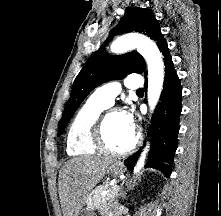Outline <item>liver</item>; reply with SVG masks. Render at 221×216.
<instances>
[{"label":"liver","instance_id":"liver-1","mask_svg":"<svg viewBox=\"0 0 221 216\" xmlns=\"http://www.w3.org/2000/svg\"><path fill=\"white\" fill-rule=\"evenodd\" d=\"M111 158L77 157L65 163L59 175V198L64 216H78L91 189L105 176Z\"/></svg>","mask_w":221,"mask_h":216}]
</instances>
